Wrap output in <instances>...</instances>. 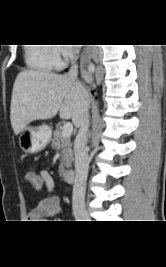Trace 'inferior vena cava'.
<instances>
[{
  "label": "inferior vena cava",
  "mask_w": 166,
  "mask_h": 267,
  "mask_svg": "<svg viewBox=\"0 0 166 267\" xmlns=\"http://www.w3.org/2000/svg\"><path fill=\"white\" fill-rule=\"evenodd\" d=\"M75 55L78 54L76 50ZM77 56H75V60ZM74 62L72 63L71 68L69 69L67 76L76 81L79 86L83 88V85L78 81V66ZM89 111L88 108L84 111L81 119V124L79 126V131L74 142V154H75V180L73 185V195H72V206L73 211H82L84 209V200H85V188L86 180L88 175L89 168V159L88 153L86 150L87 144V132L89 128Z\"/></svg>",
  "instance_id": "1"
}]
</instances>
